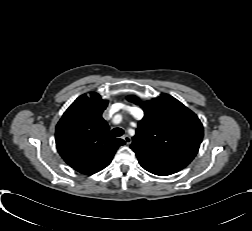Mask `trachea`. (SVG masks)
Segmentation results:
<instances>
[{"label": "trachea", "instance_id": "trachea-1", "mask_svg": "<svg viewBox=\"0 0 252 231\" xmlns=\"http://www.w3.org/2000/svg\"><path fill=\"white\" fill-rule=\"evenodd\" d=\"M124 133L123 129L122 128H114L112 129V135L115 136V137H120L122 136Z\"/></svg>", "mask_w": 252, "mask_h": 231}]
</instances>
